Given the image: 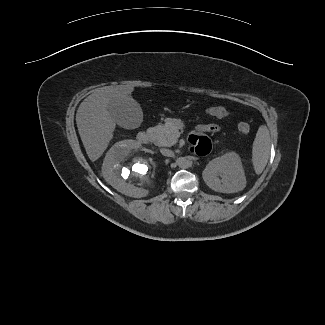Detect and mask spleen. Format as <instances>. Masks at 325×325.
Segmentation results:
<instances>
[{"instance_id": "3e777b00", "label": "spleen", "mask_w": 325, "mask_h": 325, "mask_svg": "<svg viewBox=\"0 0 325 325\" xmlns=\"http://www.w3.org/2000/svg\"><path fill=\"white\" fill-rule=\"evenodd\" d=\"M270 155V134L265 125L258 128L252 148V163L257 175L266 167Z\"/></svg>"}]
</instances>
